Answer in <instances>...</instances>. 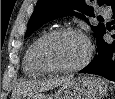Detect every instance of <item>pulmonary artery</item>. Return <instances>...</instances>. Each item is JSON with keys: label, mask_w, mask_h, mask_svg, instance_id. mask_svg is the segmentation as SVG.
I'll return each mask as SVG.
<instances>
[{"label": "pulmonary artery", "mask_w": 115, "mask_h": 99, "mask_svg": "<svg viewBox=\"0 0 115 99\" xmlns=\"http://www.w3.org/2000/svg\"><path fill=\"white\" fill-rule=\"evenodd\" d=\"M101 13L104 14L105 16H109L111 14V10L108 8H103L101 10Z\"/></svg>", "instance_id": "obj_1"}]
</instances>
